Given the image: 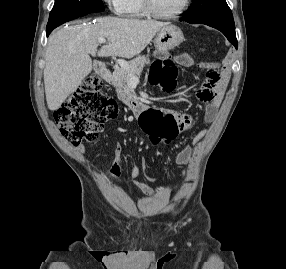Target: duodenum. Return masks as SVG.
<instances>
[{"mask_svg": "<svg viewBox=\"0 0 286 269\" xmlns=\"http://www.w3.org/2000/svg\"><path fill=\"white\" fill-rule=\"evenodd\" d=\"M95 69H96V72L106 81V82H109L110 79H111V72L110 70L108 69V67L106 66L105 63L103 62H98L96 65H95ZM134 107L137 109V111H140L142 109L145 108V106L139 104L138 102H135L134 103Z\"/></svg>", "mask_w": 286, "mask_h": 269, "instance_id": "410a0bca", "label": "duodenum"}]
</instances>
